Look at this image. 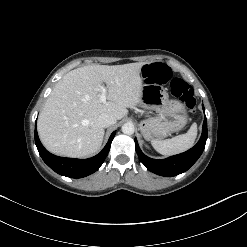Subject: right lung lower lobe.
Returning <instances> with one entry per match:
<instances>
[{
    "label": "right lung lower lobe",
    "instance_id": "right-lung-lower-lobe-1",
    "mask_svg": "<svg viewBox=\"0 0 247 247\" xmlns=\"http://www.w3.org/2000/svg\"><path fill=\"white\" fill-rule=\"evenodd\" d=\"M115 133L111 134L108 143L98 155L88 159L63 158L51 154L41 144L36 129L35 144L43 161L56 173L70 178H82L96 172L103 164Z\"/></svg>",
    "mask_w": 247,
    "mask_h": 247
}]
</instances>
